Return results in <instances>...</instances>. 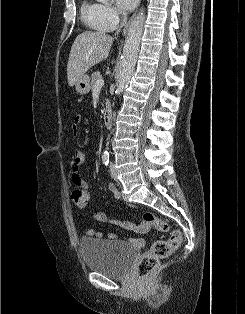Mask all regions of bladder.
I'll use <instances>...</instances> for the list:
<instances>
[{
    "label": "bladder",
    "instance_id": "bladder-1",
    "mask_svg": "<svg viewBox=\"0 0 245 314\" xmlns=\"http://www.w3.org/2000/svg\"><path fill=\"white\" fill-rule=\"evenodd\" d=\"M79 248L87 268L109 277L123 276L138 255L125 243L97 238L82 240Z\"/></svg>",
    "mask_w": 245,
    "mask_h": 314
}]
</instances>
